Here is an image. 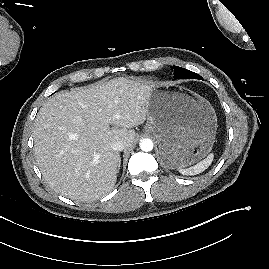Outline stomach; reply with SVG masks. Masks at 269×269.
Listing matches in <instances>:
<instances>
[{"mask_svg": "<svg viewBox=\"0 0 269 269\" xmlns=\"http://www.w3.org/2000/svg\"><path fill=\"white\" fill-rule=\"evenodd\" d=\"M217 116L210 102L172 84L154 85L145 131L159 145L162 165L186 167L205 157L215 141Z\"/></svg>", "mask_w": 269, "mask_h": 269, "instance_id": "0dacf381", "label": "stomach"}]
</instances>
